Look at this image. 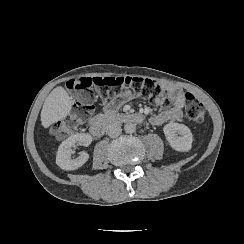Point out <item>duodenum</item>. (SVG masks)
I'll use <instances>...</instances> for the list:
<instances>
[{"instance_id":"410a0bca","label":"duodenum","mask_w":244,"mask_h":244,"mask_svg":"<svg viewBox=\"0 0 244 244\" xmlns=\"http://www.w3.org/2000/svg\"><path fill=\"white\" fill-rule=\"evenodd\" d=\"M144 117L140 113H126L104 117L90 125V132L96 136H104L111 128L122 123H142Z\"/></svg>"}]
</instances>
